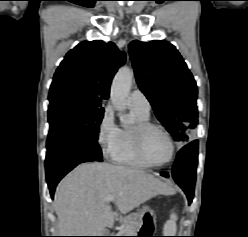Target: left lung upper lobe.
<instances>
[{"mask_svg": "<svg viewBox=\"0 0 248 237\" xmlns=\"http://www.w3.org/2000/svg\"><path fill=\"white\" fill-rule=\"evenodd\" d=\"M129 53L141 91L174 140L186 142L198 123L197 85L182 56L167 41H132Z\"/></svg>", "mask_w": 248, "mask_h": 237, "instance_id": "5c2ea615", "label": "left lung upper lobe"}]
</instances>
